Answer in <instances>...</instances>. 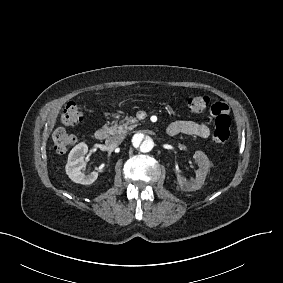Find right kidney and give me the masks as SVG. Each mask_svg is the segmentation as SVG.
<instances>
[{
    "label": "right kidney",
    "instance_id": "1",
    "mask_svg": "<svg viewBox=\"0 0 283 283\" xmlns=\"http://www.w3.org/2000/svg\"><path fill=\"white\" fill-rule=\"evenodd\" d=\"M88 152L86 143L81 142L77 144L69 153L68 161L65 167L66 174L69 178L79 184H92L98 177V173L93 171L89 174H84L81 169L86 166L84 162V155Z\"/></svg>",
    "mask_w": 283,
    "mask_h": 283
}]
</instances>
